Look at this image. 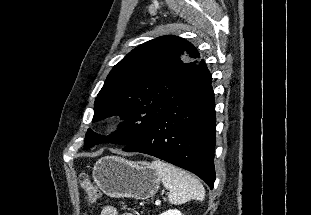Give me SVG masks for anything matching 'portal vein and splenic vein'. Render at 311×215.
<instances>
[{
  "label": "portal vein and splenic vein",
  "mask_w": 311,
  "mask_h": 215,
  "mask_svg": "<svg viewBox=\"0 0 311 215\" xmlns=\"http://www.w3.org/2000/svg\"><path fill=\"white\" fill-rule=\"evenodd\" d=\"M160 203H161V201H160V200H157L155 204H156V205H160Z\"/></svg>",
  "instance_id": "1"
}]
</instances>
